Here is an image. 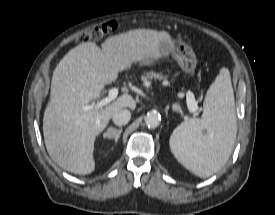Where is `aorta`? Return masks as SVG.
Returning a JSON list of instances; mask_svg holds the SVG:
<instances>
[{
	"label": "aorta",
	"mask_w": 275,
	"mask_h": 215,
	"mask_svg": "<svg viewBox=\"0 0 275 215\" xmlns=\"http://www.w3.org/2000/svg\"><path fill=\"white\" fill-rule=\"evenodd\" d=\"M161 121V116L155 111L148 112L145 116V124L148 128H156Z\"/></svg>",
	"instance_id": "aorta-1"
}]
</instances>
